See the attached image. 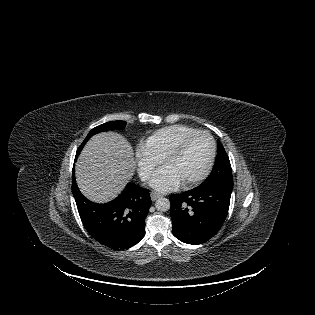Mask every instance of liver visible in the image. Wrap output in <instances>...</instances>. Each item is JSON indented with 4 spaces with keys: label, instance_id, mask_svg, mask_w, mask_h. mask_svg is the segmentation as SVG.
Instances as JSON below:
<instances>
[{
    "label": "liver",
    "instance_id": "6515ba94",
    "mask_svg": "<svg viewBox=\"0 0 315 315\" xmlns=\"http://www.w3.org/2000/svg\"><path fill=\"white\" fill-rule=\"evenodd\" d=\"M133 148L120 134L104 132L93 136L76 163L81 192L94 202L116 197L135 171Z\"/></svg>",
    "mask_w": 315,
    "mask_h": 315
}]
</instances>
